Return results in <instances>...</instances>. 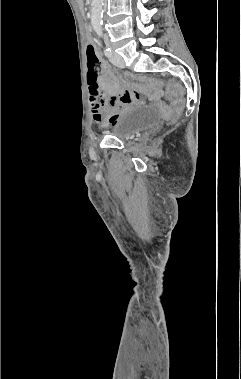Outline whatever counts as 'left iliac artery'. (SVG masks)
<instances>
[{"label":"left iliac artery","instance_id":"obj_1","mask_svg":"<svg viewBox=\"0 0 241 379\" xmlns=\"http://www.w3.org/2000/svg\"><path fill=\"white\" fill-rule=\"evenodd\" d=\"M96 32H97V34H98L99 37H103V31H102V28H100V27H99V28H96ZM104 54H105L107 57H111V55H112V50H111V48H110L108 42H106V48H105V50H104Z\"/></svg>","mask_w":241,"mask_h":379}]
</instances>
